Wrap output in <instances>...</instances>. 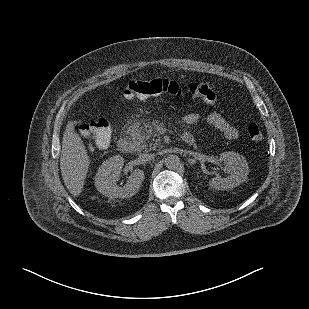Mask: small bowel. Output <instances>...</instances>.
<instances>
[{
  "instance_id": "1",
  "label": "small bowel",
  "mask_w": 309,
  "mask_h": 309,
  "mask_svg": "<svg viewBox=\"0 0 309 309\" xmlns=\"http://www.w3.org/2000/svg\"><path fill=\"white\" fill-rule=\"evenodd\" d=\"M198 121V115L196 113H189L185 116V122L188 125H193ZM207 122L210 126L220 131L227 139L233 140L238 137L237 129L232 126L222 115L219 113H211L207 117ZM184 135H191L190 132L184 133ZM192 136V135H191Z\"/></svg>"
}]
</instances>
